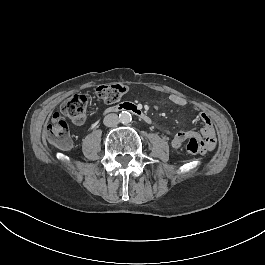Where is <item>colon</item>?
I'll list each match as a JSON object with an SVG mask.
<instances>
[{
	"mask_svg": "<svg viewBox=\"0 0 265 265\" xmlns=\"http://www.w3.org/2000/svg\"><path fill=\"white\" fill-rule=\"evenodd\" d=\"M127 88L123 84L101 85L96 93L105 103H113L125 94ZM89 98L86 94H75L66 99L59 112H57L48 122L43 131L44 141L52 147L58 149H69L72 147V138L69 133L66 118L75 123H84L87 120V106ZM200 148L197 137H189L188 144L184 145L185 151H190L196 155Z\"/></svg>",
	"mask_w": 265,
	"mask_h": 265,
	"instance_id": "colon-1",
	"label": "colon"
}]
</instances>
